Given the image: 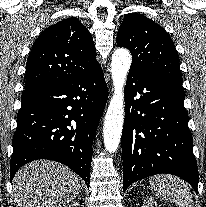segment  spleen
I'll use <instances>...</instances> for the list:
<instances>
[{
    "instance_id": "spleen-1",
    "label": "spleen",
    "mask_w": 206,
    "mask_h": 207,
    "mask_svg": "<svg viewBox=\"0 0 206 207\" xmlns=\"http://www.w3.org/2000/svg\"><path fill=\"white\" fill-rule=\"evenodd\" d=\"M149 182L155 196L179 207H192V194L183 180L175 176L158 175L152 177Z\"/></svg>"
}]
</instances>
